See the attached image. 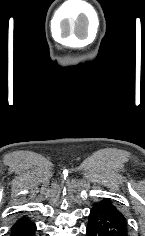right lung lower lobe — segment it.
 <instances>
[{
    "instance_id": "right-lung-lower-lobe-1",
    "label": "right lung lower lobe",
    "mask_w": 145,
    "mask_h": 236,
    "mask_svg": "<svg viewBox=\"0 0 145 236\" xmlns=\"http://www.w3.org/2000/svg\"><path fill=\"white\" fill-rule=\"evenodd\" d=\"M35 231V223L27 216H22L11 227L10 236H35Z\"/></svg>"
}]
</instances>
